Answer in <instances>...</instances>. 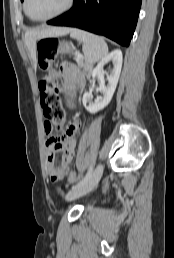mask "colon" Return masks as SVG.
Segmentation results:
<instances>
[{
  "label": "colon",
  "instance_id": "5ec220e1",
  "mask_svg": "<svg viewBox=\"0 0 174 258\" xmlns=\"http://www.w3.org/2000/svg\"><path fill=\"white\" fill-rule=\"evenodd\" d=\"M58 41L53 38H45L37 43L38 61L43 69H48L57 54ZM63 90V86L55 84L50 81H40V103L43 108V114L48 121L52 129L58 131V136L64 138L65 132H62V126L66 120V109L63 107L60 101V93ZM69 182L73 183L78 180V176L75 172L71 171L67 175Z\"/></svg>",
  "mask_w": 174,
  "mask_h": 258
}]
</instances>
